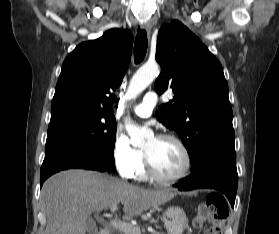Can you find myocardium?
I'll list each match as a JSON object with an SVG mask.
<instances>
[{"mask_svg":"<svg viewBox=\"0 0 279 234\" xmlns=\"http://www.w3.org/2000/svg\"><path fill=\"white\" fill-rule=\"evenodd\" d=\"M156 139L168 140L174 142L182 151L185 163L183 169L178 175H176L175 177L167 178L161 176L156 171L149 154L144 150L143 155H144V162H145L147 176L153 181L164 185H173L185 179L192 167V157L186 144L179 137L172 134H161L158 135Z\"/></svg>","mask_w":279,"mask_h":234,"instance_id":"1","label":"myocardium"}]
</instances>
